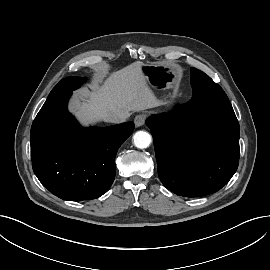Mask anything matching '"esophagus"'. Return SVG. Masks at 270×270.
<instances>
[{
  "label": "esophagus",
  "mask_w": 270,
  "mask_h": 270,
  "mask_svg": "<svg viewBox=\"0 0 270 270\" xmlns=\"http://www.w3.org/2000/svg\"><path fill=\"white\" fill-rule=\"evenodd\" d=\"M145 120H146V117L145 115H137L135 118H134V123H135V126L136 127H141L145 124Z\"/></svg>",
  "instance_id": "34e87169"
}]
</instances>
